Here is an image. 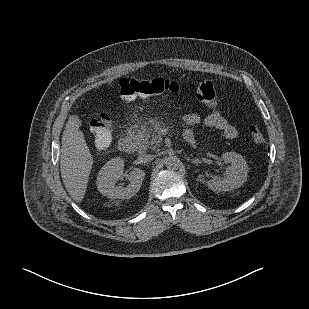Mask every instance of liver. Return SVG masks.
Returning a JSON list of instances; mask_svg holds the SVG:
<instances>
[{"label": "liver", "mask_w": 309, "mask_h": 309, "mask_svg": "<svg viewBox=\"0 0 309 309\" xmlns=\"http://www.w3.org/2000/svg\"><path fill=\"white\" fill-rule=\"evenodd\" d=\"M78 116L69 117L62 135L60 170L65 188L76 202H81L86 193L93 158L80 130Z\"/></svg>", "instance_id": "obj_1"}]
</instances>
